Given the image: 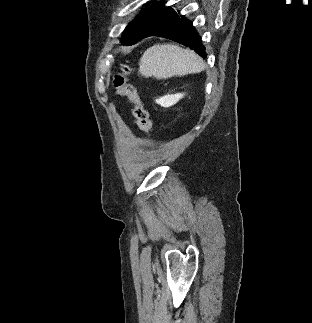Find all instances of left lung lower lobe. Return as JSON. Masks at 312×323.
I'll return each instance as SVG.
<instances>
[{"mask_svg": "<svg viewBox=\"0 0 312 323\" xmlns=\"http://www.w3.org/2000/svg\"><path fill=\"white\" fill-rule=\"evenodd\" d=\"M148 36H159L176 41L188 46L200 56L206 57L205 47L192 22L184 16L179 17L174 10L158 21L145 37Z\"/></svg>", "mask_w": 312, "mask_h": 323, "instance_id": "1", "label": "left lung lower lobe"}]
</instances>
